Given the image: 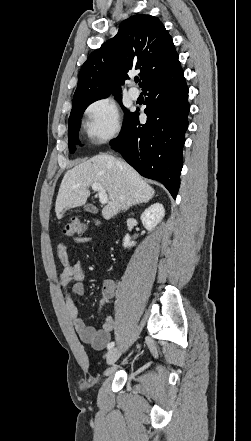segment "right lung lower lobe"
<instances>
[{"mask_svg":"<svg viewBox=\"0 0 251 441\" xmlns=\"http://www.w3.org/2000/svg\"><path fill=\"white\" fill-rule=\"evenodd\" d=\"M143 91L148 95L147 122L140 124L138 110L131 113L110 145L142 176L161 182L176 199L190 109L181 66L157 76Z\"/></svg>","mask_w":251,"mask_h":441,"instance_id":"1","label":"right lung lower lobe"}]
</instances>
